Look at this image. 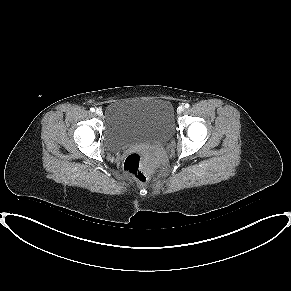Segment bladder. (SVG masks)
<instances>
[{"label": "bladder", "mask_w": 291, "mask_h": 291, "mask_svg": "<svg viewBox=\"0 0 291 291\" xmlns=\"http://www.w3.org/2000/svg\"><path fill=\"white\" fill-rule=\"evenodd\" d=\"M174 129L173 107L167 99H128L106 106L104 136L110 151H118L135 142L164 141Z\"/></svg>", "instance_id": "bladder-1"}]
</instances>
